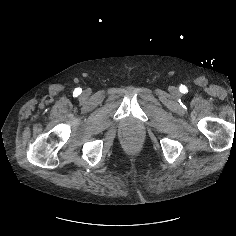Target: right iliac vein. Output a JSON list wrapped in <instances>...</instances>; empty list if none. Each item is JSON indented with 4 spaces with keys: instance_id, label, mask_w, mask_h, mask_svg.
Instances as JSON below:
<instances>
[{
    "instance_id": "right-iliac-vein-1",
    "label": "right iliac vein",
    "mask_w": 236,
    "mask_h": 236,
    "mask_svg": "<svg viewBox=\"0 0 236 236\" xmlns=\"http://www.w3.org/2000/svg\"><path fill=\"white\" fill-rule=\"evenodd\" d=\"M86 95H87L86 93H83V97H86Z\"/></svg>"
}]
</instances>
